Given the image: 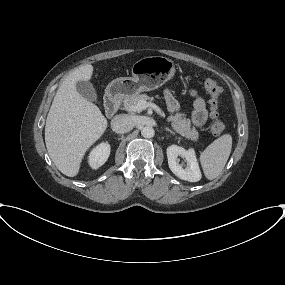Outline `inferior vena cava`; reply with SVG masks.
<instances>
[{"label":"inferior vena cava","instance_id":"1","mask_svg":"<svg viewBox=\"0 0 285 285\" xmlns=\"http://www.w3.org/2000/svg\"><path fill=\"white\" fill-rule=\"evenodd\" d=\"M134 126L133 118L127 114L116 115L111 120V128L115 133L123 134L132 130Z\"/></svg>","mask_w":285,"mask_h":285}]
</instances>
